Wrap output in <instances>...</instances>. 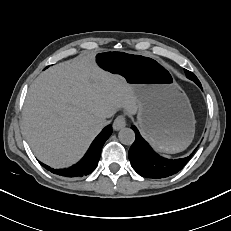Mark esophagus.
<instances>
[{
  "mask_svg": "<svg viewBox=\"0 0 231 231\" xmlns=\"http://www.w3.org/2000/svg\"><path fill=\"white\" fill-rule=\"evenodd\" d=\"M126 126V119L123 115L118 116L113 122V129L118 131Z\"/></svg>",
  "mask_w": 231,
  "mask_h": 231,
  "instance_id": "34e87169",
  "label": "esophagus"
}]
</instances>
